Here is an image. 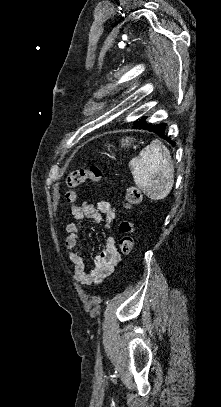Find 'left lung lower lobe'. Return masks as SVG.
Instances as JSON below:
<instances>
[{
    "label": "left lung lower lobe",
    "instance_id": "0a47b994",
    "mask_svg": "<svg viewBox=\"0 0 221 407\" xmlns=\"http://www.w3.org/2000/svg\"><path fill=\"white\" fill-rule=\"evenodd\" d=\"M146 119H147V117L144 116L141 119H139L138 121H135L136 124L133 126V128L152 131V132L156 133L158 136L167 139V141L170 142L173 146L175 145V142L171 141L170 138H168L165 134V128H166L165 123L153 124V123L147 122Z\"/></svg>",
    "mask_w": 221,
    "mask_h": 407
}]
</instances>
